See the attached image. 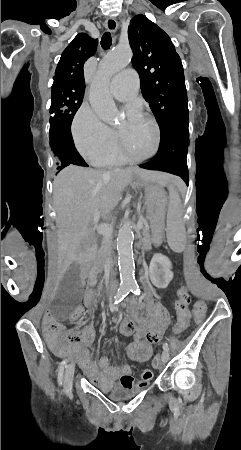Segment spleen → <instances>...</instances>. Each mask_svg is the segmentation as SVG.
I'll return each mask as SVG.
<instances>
[{
    "mask_svg": "<svg viewBox=\"0 0 241 450\" xmlns=\"http://www.w3.org/2000/svg\"><path fill=\"white\" fill-rule=\"evenodd\" d=\"M169 196H170V210L171 211H182L183 210V203L180 202V196L174 188V186H169ZM168 225L169 228L167 229V237L169 241V249L171 253H180L183 252L185 246L184 243L186 242L185 234L186 229L183 228L182 223V214L181 212H169L168 213Z\"/></svg>",
    "mask_w": 241,
    "mask_h": 450,
    "instance_id": "3e777b00",
    "label": "spleen"
}]
</instances>
